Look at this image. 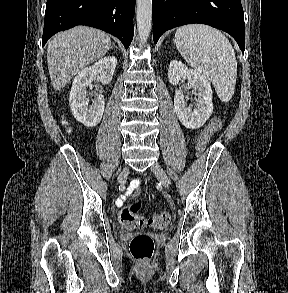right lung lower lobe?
<instances>
[{
  "mask_svg": "<svg viewBox=\"0 0 288 293\" xmlns=\"http://www.w3.org/2000/svg\"><path fill=\"white\" fill-rule=\"evenodd\" d=\"M135 0H47L42 41L76 25L108 32L127 49L133 39Z\"/></svg>",
  "mask_w": 288,
  "mask_h": 293,
  "instance_id": "98d812e1",
  "label": "right lung lower lobe"
}]
</instances>
